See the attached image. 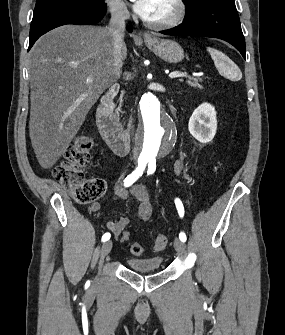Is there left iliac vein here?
I'll return each mask as SVG.
<instances>
[{"mask_svg": "<svg viewBox=\"0 0 285 335\" xmlns=\"http://www.w3.org/2000/svg\"><path fill=\"white\" fill-rule=\"evenodd\" d=\"M174 248H175L176 252H178L180 254H185V252H186V245H185V243L182 242L178 238H176L174 240Z\"/></svg>", "mask_w": 285, "mask_h": 335, "instance_id": "obj_1", "label": "left iliac vein"}]
</instances>
